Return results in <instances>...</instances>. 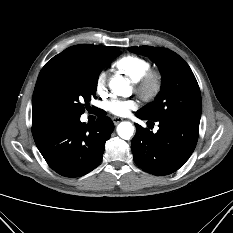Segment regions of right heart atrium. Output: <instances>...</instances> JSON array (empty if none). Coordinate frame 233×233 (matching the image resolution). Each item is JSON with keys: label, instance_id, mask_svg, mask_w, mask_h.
Listing matches in <instances>:
<instances>
[{"label": "right heart atrium", "instance_id": "d8ad5b80", "mask_svg": "<svg viewBox=\"0 0 233 233\" xmlns=\"http://www.w3.org/2000/svg\"><path fill=\"white\" fill-rule=\"evenodd\" d=\"M107 72L102 70L98 73L95 80V90L97 94L104 95L106 93Z\"/></svg>", "mask_w": 233, "mask_h": 233}]
</instances>
